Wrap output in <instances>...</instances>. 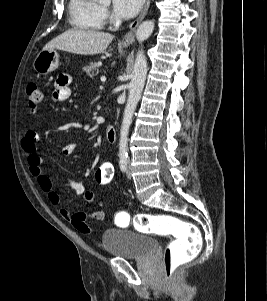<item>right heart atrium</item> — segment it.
Returning <instances> with one entry per match:
<instances>
[{
    "instance_id": "1",
    "label": "right heart atrium",
    "mask_w": 267,
    "mask_h": 301,
    "mask_svg": "<svg viewBox=\"0 0 267 301\" xmlns=\"http://www.w3.org/2000/svg\"><path fill=\"white\" fill-rule=\"evenodd\" d=\"M101 15L104 21H106L109 17L108 11L106 8L102 7L101 8Z\"/></svg>"
}]
</instances>
